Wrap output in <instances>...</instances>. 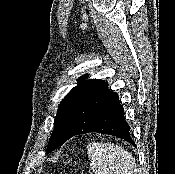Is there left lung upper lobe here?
Listing matches in <instances>:
<instances>
[{
  "label": "left lung upper lobe",
  "mask_w": 175,
  "mask_h": 174,
  "mask_svg": "<svg viewBox=\"0 0 175 174\" xmlns=\"http://www.w3.org/2000/svg\"><path fill=\"white\" fill-rule=\"evenodd\" d=\"M88 75H84L79 79V84L75 86L62 100L59 105L56 119L54 121V131L50 137L47 151L52 152L58 146L63 144V135L69 119L79 101L92 89L100 85L103 80L90 79L85 80Z\"/></svg>",
  "instance_id": "1"
}]
</instances>
